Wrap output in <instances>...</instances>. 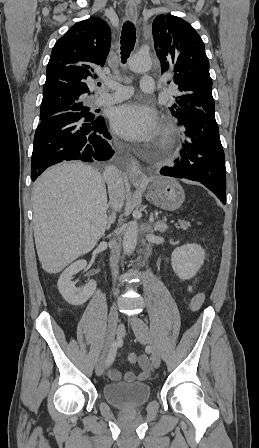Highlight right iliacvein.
I'll return each instance as SVG.
<instances>
[{
	"label": "right iliac vein",
	"mask_w": 259,
	"mask_h": 448,
	"mask_svg": "<svg viewBox=\"0 0 259 448\" xmlns=\"http://www.w3.org/2000/svg\"><path fill=\"white\" fill-rule=\"evenodd\" d=\"M117 323H118V312H117L116 305L114 304L110 308V312H109V316H108V328H107V333H106L104 349H103V352L95 366V373L97 376H101L104 372L106 354L113 343L115 333H116Z\"/></svg>",
	"instance_id": "right-iliac-vein-1"
}]
</instances>
